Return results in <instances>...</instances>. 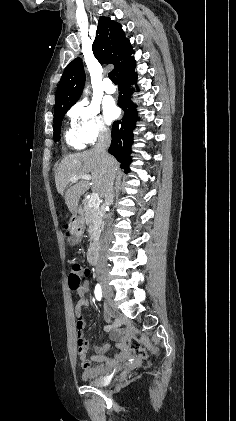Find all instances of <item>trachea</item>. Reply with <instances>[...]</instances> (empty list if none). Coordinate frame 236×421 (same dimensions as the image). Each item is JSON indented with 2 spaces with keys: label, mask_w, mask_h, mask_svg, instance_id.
<instances>
[{
  "label": "trachea",
  "mask_w": 236,
  "mask_h": 421,
  "mask_svg": "<svg viewBox=\"0 0 236 421\" xmlns=\"http://www.w3.org/2000/svg\"><path fill=\"white\" fill-rule=\"evenodd\" d=\"M108 76H109L110 80H111L113 83H117V78H116V76H115V73H114V72H110V73L108 74Z\"/></svg>",
  "instance_id": "trachea-1"
}]
</instances>
